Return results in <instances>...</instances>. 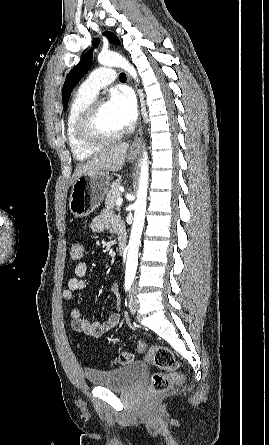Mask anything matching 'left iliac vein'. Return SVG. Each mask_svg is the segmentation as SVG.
<instances>
[{"mask_svg": "<svg viewBox=\"0 0 269 445\" xmlns=\"http://www.w3.org/2000/svg\"><path fill=\"white\" fill-rule=\"evenodd\" d=\"M136 294V285H133L129 293V309L132 314H134L138 308V299L136 297Z\"/></svg>", "mask_w": 269, "mask_h": 445, "instance_id": "left-iliac-vein-1", "label": "left iliac vein"}]
</instances>
